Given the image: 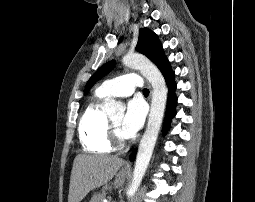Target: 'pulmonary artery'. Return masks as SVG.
Wrapping results in <instances>:
<instances>
[{
	"mask_svg": "<svg viewBox=\"0 0 255 202\" xmlns=\"http://www.w3.org/2000/svg\"><path fill=\"white\" fill-rule=\"evenodd\" d=\"M142 85V79L137 74L129 73L103 82L97 88L96 94L103 98L126 97Z\"/></svg>",
	"mask_w": 255,
	"mask_h": 202,
	"instance_id": "obj_1",
	"label": "pulmonary artery"
}]
</instances>
